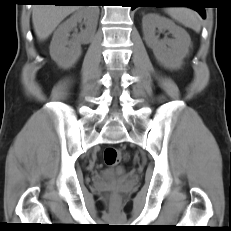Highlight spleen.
<instances>
[{
  "mask_svg": "<svg viewBox=\"0 0 231 231\" xmlns=\"http://www.w3.org/2000/svg\"><path fill=\"white\" fill-rule=\"evenodd\" d=\"M166 12L175 21L181 23L185 27L191 28L196 32L201 29V18L199 14L185 7L167 8Z\"/></svg>",
  "mask_w": 231,
  "mask_h": 231,
  "instance_id": "spleen-1",
  "label": "spleen"
}]
</instances>
